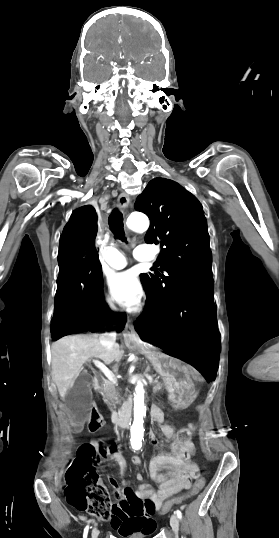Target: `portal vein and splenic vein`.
I'll return each mask as SVG.
<instances>
[{
  "mask_svg": "<svg viewBox=\"0 0 279 538\" xmlns=\"http://www.w3.org/2000/svg\"><path fill=\"white\" fill-rule=\"evenodd\" d=\"M92 364L94 366H97V368H99V370H101V372H103V374H105V376H106V378H108V380H112V383H114V385H117V380H114V378H115L114 374H112V372H110V370H108V368H106V366H104V364H102V362H99L96 359V357H93ZM154 383H158V380H154Z\"/></svg>",
  "mask_w": 279,
  "mask_h": 538,
  "instance_id": "18ae733b",
  "label": "portal vein and splenic vein"
}]
</instances>
